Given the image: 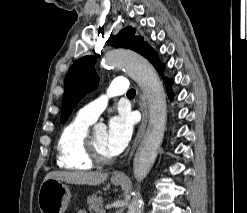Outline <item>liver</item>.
I'll list each match as a JSON object with an SVG mask.
<instances>
[{
    "instance_id": "6515ba94",
    "label": "liver",
    "mask_w": 247,
    "mask_h": 213,
    "mask_svg": "<svg viewBox=\"0 0 247 213\" xmlns=\"http://www.w3.org/2000/svg\"><path fill=\"white\" fill-rule=\"evenodd\" d=\"M108 175L106 172L53 171L48 173L44 180L54 179L69 184L96 186L104 182L108 178Z\"/></svg>"
}]
</instances>
